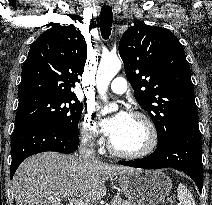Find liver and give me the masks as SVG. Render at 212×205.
<instances>
[{"mask_svg": "<svg viewBox=\"0 0 212 205\" xmlns=\"http://www.w3.org/2000/svg\"><path fill=\"white\" fill-rule=\"evenodd\" d=\"M133 170L85 162L80 156L39 153L24 160L14 175L16 205H63L64 199L72 197L93 203L106 195V181Z\"/></svg>", "mask_w": 212, "mask_h": 205, "instance_id": "6515ba94", "label": "liver"}]
</instances>
